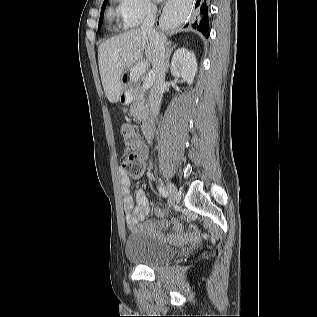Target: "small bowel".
<instances>
[{"label":"small bowel","instance_id":"1","mask_svg":"<svg viewBox=\"0 0 317 317\" xmlns=\"http://www.w3.org/2000/svg\"><path fill=\"white\" fill-rule=\"evenodd\" d=\"M141 156L144 161L147 157L146 147L140 143ZM121 192L123 195V207L126 215V223L133 231L145 232L155 239H162L173 243H194L200 238V231L196 225H190L185 230L183 225L176 219H172L163 228H158L151 221L141 224L150 213L147 196L142 189L137 190L134 199L130 194L131 180L124 169L120 170ZM156 215H162L163 211L155 208ZM171 227V231L167 229Z\"/></svg>","mask_w":317,"mask_h":317}]
</instances>
